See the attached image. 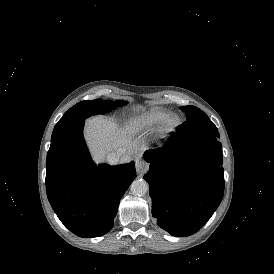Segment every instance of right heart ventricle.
Wrapping results in <instances>:
<instances>
[{
  "label": "right heart ventricle",
  "instance_id": "right-heart-ventricle-1",
  "mask_svg": "<svg viewBox=\"0 0 274 274\" xmlns=\"http://www.w3.org/2000/svg\"><path fill=\"white\" fill-rule=\"evenodd\" d=\"M167 111L161 107H152L130 119L125 131L131 136H141L155 129L162 121Z\"/></svg>",
  "mask_w": 274,
  "mask_h": 274
}]
</instances>
